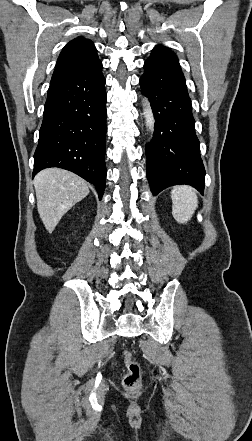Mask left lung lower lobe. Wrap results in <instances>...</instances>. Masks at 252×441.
<instances>
[{
	"label": "left lung lower lobe",
	"instance_id": "1",
	"mask_svg": "<svg viewBox=\"0 0 252 441\" xmlns=\"http://www.w3.org/2000/svg\"><path fill=\"white\" fill-rule=\"evenodd\" d=\"M144 70L140 85L156 120L153 138L145 148L151 191L157 195L169 186L189 184L203 193L205 169L178 58L158 45Z\"/></svg>",
	"mask_w": 252,
	"mask_h": 441
}]
</instances>
